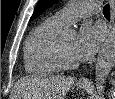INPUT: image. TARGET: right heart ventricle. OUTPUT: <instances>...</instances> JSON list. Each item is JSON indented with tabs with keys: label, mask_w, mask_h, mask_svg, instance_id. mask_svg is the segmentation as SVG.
I'll list each match as a JSON object with an SVG mask.
<instances>
[{
	"label": "right heart ventricle",
	"mask_w": 115,
	"mask_h": 99,
	"mask_svg": "<svg viewBox=\"0 0 115 99\" xmlns=\"http://www.w3.org/2000/svg\"><path fill=\"white\" fill-rule=\"evenodd\" d=\"M62 26L48 19L36 26L27 37L24 45V65L33 75H51L62 68L55 58L57 36Z\"/></svg>",
	"instance_id": "1"
}]
</instances>
